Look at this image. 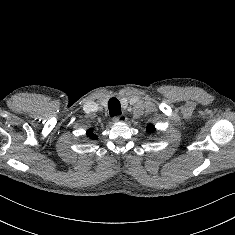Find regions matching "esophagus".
<instances>
[{
	"mask_svg": "<svg viewBox=\"0 0 235 235\" xmlns=\"http://www.w3.org/2000/svg\"><path fill=\"white\" fill-rule=\"evenodd\" d=\"M114 122H126L127 117L125 115H117L113 117Z\"/></svg>",
	"mask_w": 235,
	"mask_h": 235,
	"instance_id": "esophagus-1",
	"label": "esophagus"
}]
</instances>
